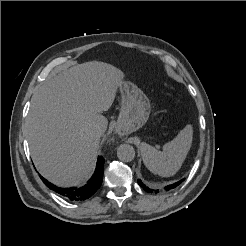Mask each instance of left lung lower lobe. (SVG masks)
<instances>
[{"instance_id": "left-lung-lower-lobe-1", "label": "left lung lower lobe", "mask_w": 246, "mask_h": 246, "mask_svg": "<svg viewBox=\"0 0 246 246\" xmlns=\"http://www.w3.org/2000/svg\"><path fill=\"white\" fill-rule=\"evenodd\" d=\"M183 181H184V179H182V180H180V181H178V182H176V183H174V184L168 185V186H166L164 189H165L166 191H168V190H170V189H173V188L177 187L179 184H181ZM138 184H139L146 192H155V193H158V192H159V190H153V189H150L149 187H147L146 185H144L140 179H138Z\"/></svg>"}]
</instances>
